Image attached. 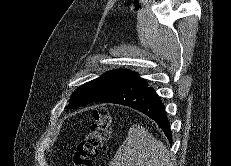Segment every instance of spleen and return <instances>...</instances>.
I'll return each mask as SVG.
<instances>
[{"label":"spleen","mask_w":231,"mask_h":166,"mask_svg":"<svg viewBox=\"0 0 231 166\" xmlns=\"http://www.w3.org/2000/svg\"><path fill=\"white\" fill-rule=\"evenodd\" d=\"M110 166H171L166 146L144 127L132 125L125 141L119 146Z\"/></svg>","instance_id":"obj_1"}]
</instances>
